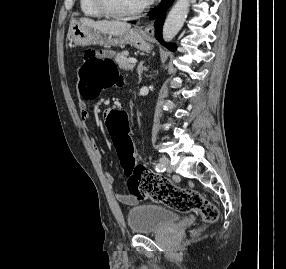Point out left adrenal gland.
Listing matches in <instances>:
<instances>
[{"label": "left adrenal gland", "instance_id": "left-adrenal-gland-1", "mask_svg": "<svg viewBox=\"0 0 286 269\" xmlns=\"http://www.w3.org/2000/svg\"><path fill=\"white\" fill-rule=\"evenodd\" d=\"M143 64H144V61L140 62V63L138 64V66H137V73H138V78H139L138 83H140L141 80H142V73H143V71L148 70V68L145 67Z\"/></svg>", "mask_w": 286, "mask_h": 269}]
</instances>
